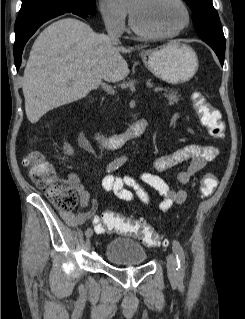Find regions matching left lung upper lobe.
I'll list each match as a JSON object with an SVG mask.
<instances>
[{"mask_svg": "<svg viewBox=\"0 0 245 319\" xmlns=\"http://www.w3.org/2000/svg\"><path fill=\"white\" fill-rule=\"evenodd\" d=\"M193 12L198 36L208 45L225 51V37L212 0H184Z\"/></svg>", "mask_w": 245, "mask_h": 319, "instance_id": "1", "label": "left lung upper lobe"}]
</instances>
